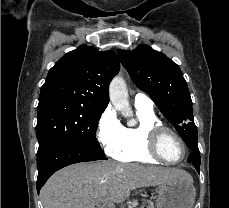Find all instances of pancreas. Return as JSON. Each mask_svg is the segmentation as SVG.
I'll use <instances>...</instances> for the list:
<instances>
[{
    "instance_id": "pancreas-1",
    "label": "pancreas",
    "mask_w": 229,
    "mask_h": 208,
    "mask_svg": "<svg viewBox=\"0 0 229 208\" xmlns=\"http://www.w3.org/2000/svg\"><path fill=\"white\" fill-rule=\"evenodd\" d=\"M145 204H147V206H145ZM141 208H155L153 202H150V200H146V202H144V206H141Z\"/></svg>"
}]
</instances>
